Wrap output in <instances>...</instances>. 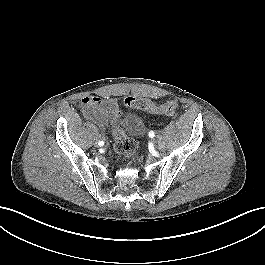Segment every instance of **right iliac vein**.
<instances>
[{
	"instance_id": "obj_1",
	"label": "right iliac vein",
	"mask_w": 265,
	"mask_h": 265,
	"mask_svg": "<svg viewBox=\"0 0 265 265\" xmlns=\"http://www.w3.org/2000/svg\"><path fill=\"white\" fill-rule=\"evenodd\" d=\"M94 145H95L96 147H98V146H99V144H98L97 142H95V143H94Z\"/></svg>"
}]
</instances>
